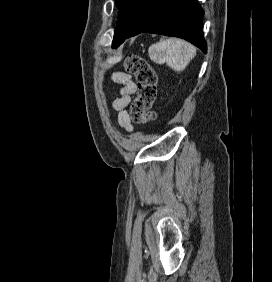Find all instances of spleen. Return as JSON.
<instances>
[{
	"label": "spleen",
	"mask_w": 272,
	"mask_h": 282,
	"mask_svg": "<svg viewBox=\"0 0 272 282\" xmlns=\"http://www.w3.org/2000/svg\"><path fill=\"white\" fill-rule=\"evenodd\" d=\"M196 49L181 39L161 40L149 47L150 59L157 63H167L175 71H183L194 58Z\"/></svg>",
	"instance_id": "spleen-1"
}]
</instances>
